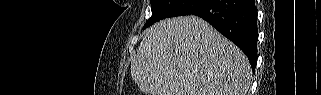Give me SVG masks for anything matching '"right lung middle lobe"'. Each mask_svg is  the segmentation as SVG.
<instances>
[{"label":"right lung middle lobe","instance_id":"1","mask_svg":"<svg viewBox=\"0 0 321 95\" xmlns=\"http://www.w3.org/2000/svg\"><path fill=\"white\" fill-rule=\"evenodd\" d=\"M209 0H151L152 16L143 29L155 22L175 16L191 15Z\"/></svg>","mask_w":321,"mask_h":95}]
</instances>
